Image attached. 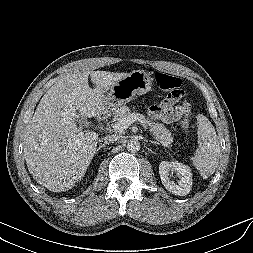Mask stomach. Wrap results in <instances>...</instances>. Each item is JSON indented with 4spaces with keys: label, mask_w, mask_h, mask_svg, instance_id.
I'll return each mask as SVG.
<instances>
[{
    "label": "stomach",
    "mask_w": 253,
    "mask_h": 253,
    "mask_svg": "<svg viewBox=\"0 0 253 253\" xmlns=\"http://www.w3.org/2000/svg\"><path fill=\"white\" fill-rule=\"evenodd\" d=\"M151 88L150 76L143 70H134L111 86L105 98V110H115L130 102L136 95L149 92Z\"/></svg>",
    "instance_id": "obj_1"
}]
</instances>
